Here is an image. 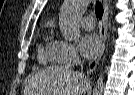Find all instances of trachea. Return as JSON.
I'll list each match as a JSON object with an SVG mask.
<instances>
[{
	"label": "trachea",
	"mask_w": 135,
	"mask_h": 95,
	"mask_svg": "<svg viewBox=\"0 0 135 95\" xmlns=\"http://www.w3.org/2000/svg\"><path fill=\"white\" fill-rule=\"evenodd\" d=\"M95 13H96L97 18H99V19L102 18L103 7H102V4L99 1L96 2Z\"/></svg>",
	"instance_id": "3493384b"
}]
</instances>
